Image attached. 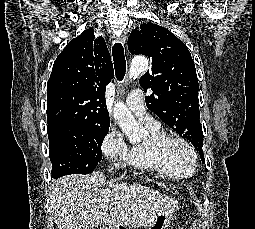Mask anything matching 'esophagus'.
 I'll list each match as a JSON object with an SVG mask.
<instances>
[{
  "instance_id": "1",
  "label": "esophagus",
  "mask_w": 255,
  "mask_h": 229,
  "mask_svg": "<svg viewBox=\"0 0 255 229\" xmlns=\"http://www.w3.org/2000/svg\"><path fill=\"white\" fill-rule=\"evenodd\" d=\"M116 41L121 43L122 45H124L125 44V35L124 34L119 35V37L116 38Z\"/></svg>"
}]
</instances>
